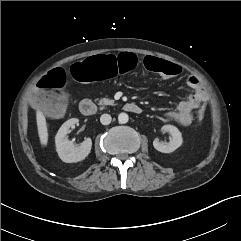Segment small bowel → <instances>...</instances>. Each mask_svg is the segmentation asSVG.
Returning <instances> with one entry per match:
<instances>
[{
  "mask_svg": "<svg viewBox=\"0 0 241 241\" xmlns=\"http://www.w3.org/2000/svg\"><path fill=\"white\" fill-rule=\"evenodd\" d=\"M187 85L194 90L193 93L186 99L182 100L175 111L168 113V116L171 119L177 121L183 126H189L192 123V111L197 109L207 98V93L197 77L189 76L187 78Z\"/></svg>",
  "mask_w": 241,
  "mask_h": 241,
  "instance_id": "1",
  "label": "small bowel"
}]
</instances>
